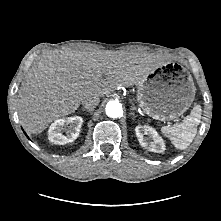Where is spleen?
I'll list each match as a JSON object with an SVG mask.
<instances>
[{
	"label": "spleen",
	"mask_w": 221,
	"mask_h": 221,
	"mask_svg": "<svg viewBox=\"0 0 221 221\" xmlns=\"http://www.w3.org/2000/svg\"><path fill=\"white\" fill-rule=\"evenodd\" d=\"M201 107L196 105L191 111V115L184 118L181 123L171 127H163L161 132L169 138L176 149L187 148L197 133V126L200 123Z\"/></svg>",
	"instance_id": "obj_1"
}]
</instances>
